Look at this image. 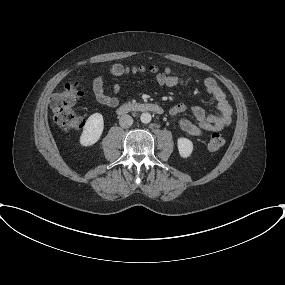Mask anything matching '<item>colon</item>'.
I'll return each mask as SVG.
<instances>
[{
  "instance_id": "1",
  "label": "colon",
  "mask_w": 285,
  "mask_h": 285,
  "mask_svg": "<svg viewBox=\"0 0 285 285\" xmlns=\"http://www.w3.org/2000/svg\"><path fill=\"white\" fill-rule=\"evenodd\" d=\"M137 71L157 73L159 69L155 66L130 69L122 65H114L111 68V74L115 77H120L130 72ZM169 73V70H165L159 74L169 75ZM82 95L83 92L80 90L77 82L67 83L61 92L52 95L50 99V107L53 112V118L55 123L63 130H78L83 127V118L74 110L76 101L82 97ZM224 143V138L220 134L214 133L209 139L208 147L211 150H218L224 145Z\"/></svg>"
}]
</instances>
